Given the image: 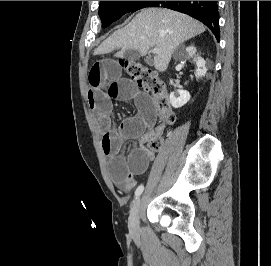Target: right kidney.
I'll return each mask as SVG.
<instances>
[{"mask_svg": "<svg viewBox=\"0 0 271 266\" xmlns=\"http://www.w3.org/2000/svg\"><path fill=\"white\" fill-rule=\"evenodd\" d=\"M183 58H192L196 63V78H200L206 74L207 68L205 67V60L196 52V49L193 45L188 46L185 49ZM170 84H173V80H170ZM190 98L191 96L189 92L185 90H177L176 92H172L169 96L170 103L174 108H180L184 106L190 100Z\"/></svg>", "mask_w": 271, "mask_h": 266, "instance_id": "1", "label": "right kidney"}]
</instances>
